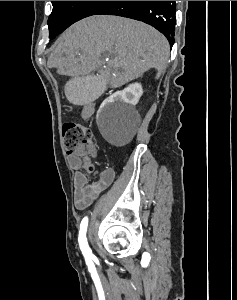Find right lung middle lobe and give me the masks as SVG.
Masks as SVG:
<instances>
[{"instance_id":"1","label":"right lung middle lobe","mask_w":237,"mask_h":300,"mask_svg":"<svg viewBox=\"0 0 237 300\" xmlns=\"http://www.w3.org/2000/svg\"><path fill=\"white\" fill-rule=\"evenodd\" d=\"M52 13L48 18L50 39H54L73 23L91 16L106 1H51Z\"/></svg>"}]
</instances>
